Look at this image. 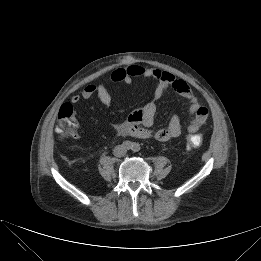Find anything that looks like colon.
<instances>
[{"instance_id":"5ec220e1","label":"colon","mask_w":261,"mask_h":261,"mask_svg":"<svg viewBox=\"0 0 261 261\" xmlns=\"http://www.w3.org/2000/svg\"><path fill=\"white\" fill-rule=\"evenodd\" d=\"M78 127V121L71 104H63L58 111L56 131L60 136L72 134ZM203 138L200 134L192 133L186 137V146L189 150L199 148Z\"/></svg>"}]
</instances>
